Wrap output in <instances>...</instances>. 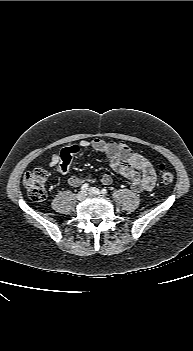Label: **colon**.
<instances>
[{"instance_id":"obj_1","label":"colon","mask_w":193,"mask_h":351,"mask_svg":"<svg viewBox=\"0 0 193 351\" xmlns=\"http://www.w3.org/2000/svg\"><path fill=\"white\" fill-rule=\"evenodd\" d=\"M158 175L164 186L173 184L174 174L166 165L160 164L158 166ZM46 181V170L42 167H36L25 175L23 184L32 199L41 201L46 197Z\"/></svg>"}]
</instances>
